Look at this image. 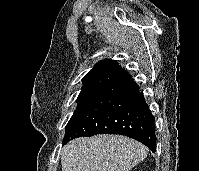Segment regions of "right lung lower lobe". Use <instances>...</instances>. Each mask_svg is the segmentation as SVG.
<instances>
[{
	"mask_svg": "<svg viewBox=\"0 0 199 171\" xmlns=\"http://www.w3.org/2000/svg\"><path fill=\"white\" fill-rule=\"evenodd\" d=\"M155 118L139 86L125 71L115 76L79 112L63 144L80 136L120 134L156 151Z\"/></svg>",
	"mask_w": 199,
	"mask_h": 171,
	"instance_id": "right-lung-lower-lobe-1",
	"label": "right lung lower lobe"
}]
</instances>
